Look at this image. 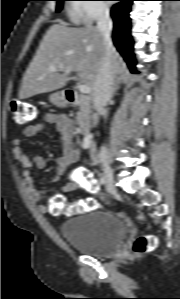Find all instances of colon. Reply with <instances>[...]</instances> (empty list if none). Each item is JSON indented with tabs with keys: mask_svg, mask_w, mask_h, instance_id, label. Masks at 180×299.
<instances>
[{
	"mask_svg": "<svg viewBox=\"0 0 180 299\" xmlns=\"http://www.w3.org/2000/svg\"><path fill=\"white\" fill-rule=\"evenodd\" d=\"M38 116V110L35 105L23 101L12 100L9 104V117L15 125H26L34 121ZM81 184L89 192L97 191V182L89 174L84 173L81 177ZM96 202L91 199H83L72 204H67L61 196H54L48 203V212L52 215H61L63 213H85L93 210ZM156 245V239L151 235H141L135 239L132 245V252L135 255H141L150 252Z\"/></svg>",
	"mask_w": 180,
	"mask_h": 299,
	"instance_id": "1",
	"label": "colon"
}]
</instances>
